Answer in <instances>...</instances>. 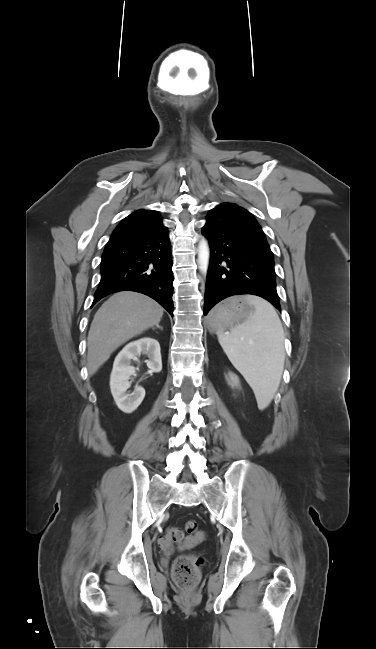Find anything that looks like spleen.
Listing matches in <instances>:
<instances>
[{"label":"spleen","instance_id":"1","mask_svg":"<svg viewBox=\"0 0 376 649\" xmlns=\"http://www.w3.org/2000/svg\"><path fill=\"white\" fill-rule=\"evenodd\" d=\"M255 311L243 323L218 331L227 357L244 376L256 397L258 408L265 409L279 387L284 368V331L274 307L265 299L246 295Z\"/></svg>","mask_w":376,"mask_h":649}]
</instances>
